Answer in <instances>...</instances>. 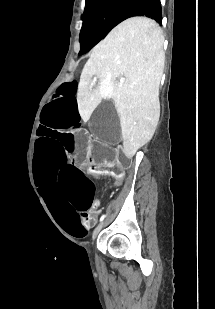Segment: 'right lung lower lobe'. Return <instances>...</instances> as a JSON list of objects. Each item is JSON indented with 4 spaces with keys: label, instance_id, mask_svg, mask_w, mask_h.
Segmentation results:
<instances>
[{
    "label": "right lung lower lobe",
    "instance_id": "right-lung-lower-lobe-1",
    "mask_svg": "<svg viewBox=\"0 0 215 309\" xmlns=\"http://www.w3.org/2000/svg\"><path fill=\"white\" fill-rule=\"evenodd\" d=\"M135 16H146L161 23L162 11L160 0H130L123 13L117 19L116 25L127 18Z\"/></svg>",
    "mask_w": 215,
    "mask_h": 309
}]
</instances>
